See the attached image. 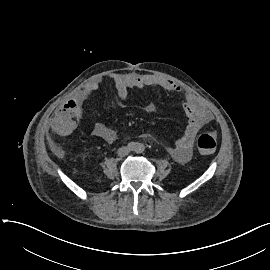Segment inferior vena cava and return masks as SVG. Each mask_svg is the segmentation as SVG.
Masks as SVG:
<instances>
[{
    "mask_svg": "<svg viewBox=\"0 0 270 270\" xmlns=\"http://www.w3.org/2000/svg\"><path fill=\"white\" fill-rule=\"evenodd\" d=\"M130 152V149L128 147H121L118 149V156L119 157H124L128 155Z\"/></svg>",
    "mask_w": 270,
    "mask_h": 270,
    "instance_id": "obj_1",
    "label": "inferior vena cava"
}]
</instances>
